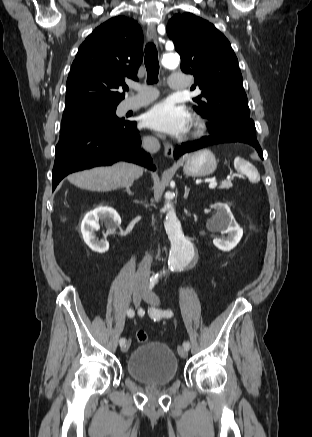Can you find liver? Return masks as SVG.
<instances>
[{
    "label": "liver",
    "mask_w": 312,
    "mask_h": 437,
    "mask_svg": "<svg viewBox=\"0 0 312 437\" xmlns=\"http://www.w3.org/2000/svg\"><path fill=\"white\" fill-rule=\"evenodd\" d=\"M143 175V168L127 162H117L112 166L95 167L74 173L67 177L73 185L94 192H108L128 187Z\"/></svg>",
    "instance_id": "6515ba94"
}]
</instances>
